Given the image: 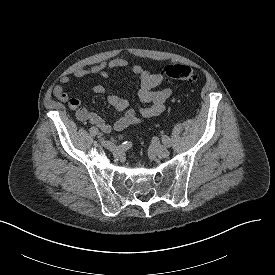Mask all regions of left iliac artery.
Masks as SVG:
<instances>
[{
	"label": "left iliac artery",
	"mask_w": 275,
	"mask_h": 275,
	"mask_svg": "<svg viewBox=\"0 0 275 275\" xmlns=\"http://www.w3.org/2000/svg\"><path fill=\"white\" fill-rule=\"evenodd\" d=\"M162 142H163V144H164L166 147H170V145H171L170 139H169V137L166 136V135H164V136L162 137Z\"/></svg>",
	"instance_id": "44dca946"
}]
</instances>
